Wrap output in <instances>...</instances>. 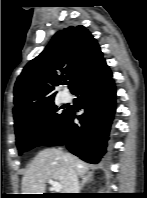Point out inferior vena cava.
I'll return each instance as SVG.
<instances>
[{
  "instance_id": "1",
  "label": "inferior vena cava",
  "mask_w": 147,
  "mask_h": 198,
  "mask_svg": "<svg viewBox=\"0 0 147 198\" xmlns=\"http://www.w3.org/2000/svg\"><path fill=\"white\" fill-rule=\"evenodd\" d=\"M69 187L67 193H79V182L77 173L70 168L68 173Z\"/></svg>"
}]
</instances>
